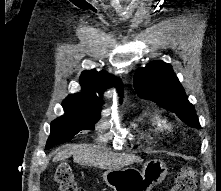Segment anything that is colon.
<instances>
[{"mask_svg": "<svg viewBox=\"0 0 221 191\" xmlns=\"http://www.w3.org/2000/svg\"><path fill=\"white\" fill-rule=\"evenodd\" d=\"M54 179L59 186V191H85L76 181L69 163H61L57 167ZM195 188V170L189 166H184L175 175L169 191H195Z\"/></svg>", "mask_w": 221, "mask_h": 191, "instance_id": "obj_1", "label": "colon"}]
</instances>
